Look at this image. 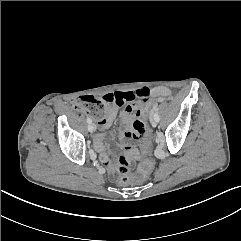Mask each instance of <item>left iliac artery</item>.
Segmentation results:
<instances>
[{"label": "left iliac artery", "mask_w": 241, "mask_h": 241, "mask_svg": "<svg viewBox=\"0 0 241 241\" xmlns=\"http://www.w3.org/2000/svg\"><path fill=\"white\" fill-rule=\"evenodd\" d=\"M156 110H157V107L155 106V107H154L153 116H154V119H155L157 122H159L160 117H159L158 113L156 112Z\"/></svg>", "instance_id": "obj_1"}]
</instances>
